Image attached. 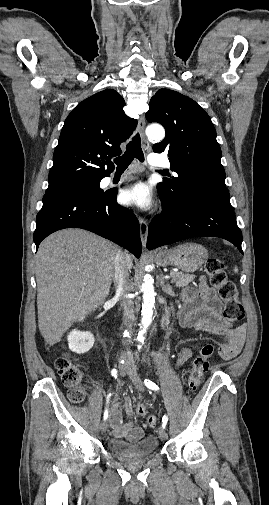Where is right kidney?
Wrapping results in <instances>:
<instances>
[{
	"label": "right kidney",
	"mask_w": 269,
	"mask_h": 505,
	"mask_svg": "<svg viewBox=\"0 0 269 505\" xmlns=\"http://www.w3.org/2000/svg\"><path fill=\"white\" fill-rule=\"evenodd\" d=\"M83 317H81V320ZM95 339L92 333L72 330L68 335L69 349L75 353L88 352L94 345Z\"/></svg>",
	"instance_id": "1"
}]
</instances>
